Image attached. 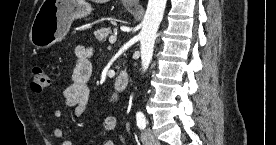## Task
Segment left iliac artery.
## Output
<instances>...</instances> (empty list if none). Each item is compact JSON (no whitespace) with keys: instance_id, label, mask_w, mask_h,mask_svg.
<instances>
[{"instance_id":"obj_1","label":"left iliac artery","mask_w":276,"mask_h":145,"mask_svg":"<svg viewBox=\"0 0 276 145\" xmlns=\"http://www.w3.org/2000/svg\"><path fill=\"white\" fill-rule=\"evenodd\" d=\"M136 121H137L138 128L141 130L144 129L147 125L146 117L144 116V114L141 111L137 112Z\"/></svg>"}]
</instances>
